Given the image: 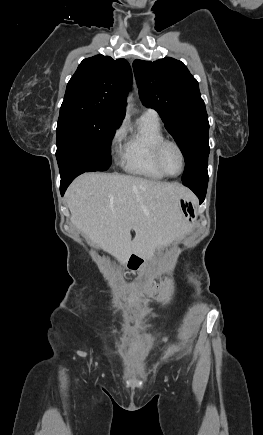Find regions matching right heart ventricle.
<instances>
[{
	"label": "right heart ventricle",
	"instance_id": "e07e8e85",
	"mask_svg": "<svg viewBox=\"0 0 263 435\" xmlns=\"http://www.w3.org/2000/svg\"><path fill=\"white\" fill-rule=\"evenodd\" d=\"M164 139L159 120L141 116L136 130L126 139L121 153L123 168L140 177L161 180L165 176L154 162V149Z\"/></svg>",
	"mask_w": 263,
	"mask_h": 435
}]
</instances>
